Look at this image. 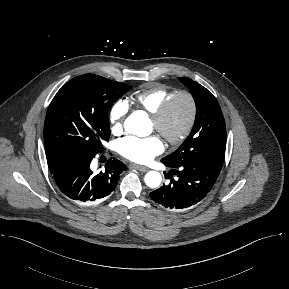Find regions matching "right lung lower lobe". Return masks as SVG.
<instances>
[{
  "label": "right lung lower lobe",
  "instance_id": "obj_1",
  "mask_svg": "<svg viewBox=\"0 0 289 289\" xmlns=\"http://www.w3.org/2000/svg\"><path fill=\"white\" fill-rule=\"evenodd\" d=\"M96 154H66L48 162L50 172L61 192L75 203H91L110 195L118 184L119 175L127 167L110 158L105 168L91 169Z\"/></svg>",
  "mask_w": 289,
  "mask_h": 289
}]
</instances>
